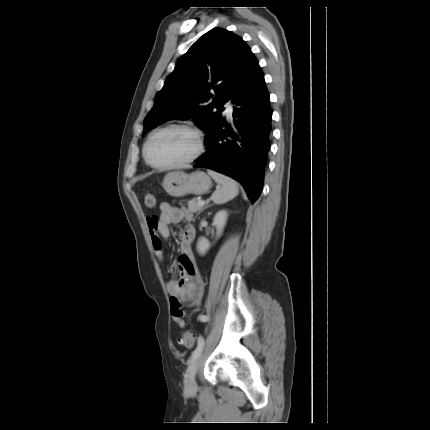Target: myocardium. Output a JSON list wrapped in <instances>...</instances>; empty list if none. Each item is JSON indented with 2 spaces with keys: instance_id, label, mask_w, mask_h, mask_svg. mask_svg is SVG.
<instances>
[{
  "instance_id": "obj_1",
  "label": "myocardium",
  "mask_w": 430,
  "mask_h": 430,
  "mask_svg": "<svg viewBox=\"0 0 430 430\" xmlns=\"http://www.w3.org/2000/svg\"><path fill=\"white\" fill-rule=\"evenodd\" d=\"M170 129H184L187 130L191 133H193L196 137V150L195 152L188 157L187 159L177 162V163H173V164H167V165H160V164H156L154 163L150 156H149V147L150 144L152 142V140L159 135L160 133L170 130ZM205 151V138H204V134L203 132L196 126L186 123V122H176V123H171L168 124L166 126H163L159 129H157L156 131H154L146 140L145 145H144V149H143V154H144V158L146 160V162L153 168L159 169V170H171V169H177V168H182L185 167L193 162H195L196 160H198L204 153Z\"/></svg>"
}]
</instances>
